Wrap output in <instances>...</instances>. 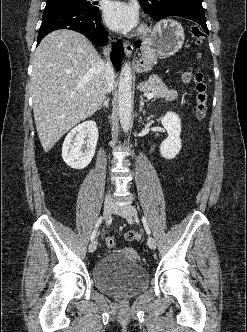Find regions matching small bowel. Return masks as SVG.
<instances>
[{
	"label": "small bowel",
	"mask_w": 247,
	"mask_h": 332,
	"mask_svg": "<svg viewBox=\"0 0 247 332\" xmlns=\"http://www.w3.org/2000/svg\"><path fill=\"white\" fill-rule=\"evenodd\" d=\"M175 97V93L173 91L169 92L168 95H167V98L169 100L173 99Z\"/></svg>",
	"instance_id": "1"
}]
</instances>
